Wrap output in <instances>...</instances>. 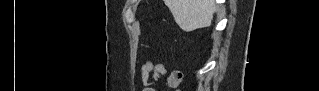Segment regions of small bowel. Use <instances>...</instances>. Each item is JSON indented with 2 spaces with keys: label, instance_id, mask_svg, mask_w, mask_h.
<instances>
[{
  "label": "small bowel",
  "instance_id": "obj_1",
  "mask_svg": "<svg viewBox=\"0 0 319 91\" xmlns=\"http://www.w3.org/2000/svg\"><path fill=\"white\" fill-rule=\"evenodd\" d=\"M165 67L160 64H154L153 62H147L144 64L142 69V80L145 83H150L153 78L158 77L163 74ZM181 74L178 72L171 73L170 83L172 85H177L180 81Z\"/></svg>",
  "mask_w": 319,
  "mask_h": 91
}]
</instances>
